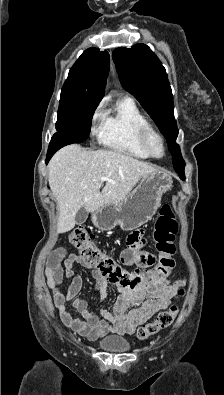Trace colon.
<instances>
[{
    "instance_id": "obj_1",
    "label": "colon",
    "mask_w": 224,
    "mask_h": 395,
    "mask_svg": "<svg viewBox=\"0 0 224 395\" xmlns=\"http://www.w3.org/2000/svg\"><path fill=\"white\" fill-rule=\"evenodd\" d=\"M177 231L178 225L172 208L167 204L163 205L160 209L153 233L156 249L160 254L155 271L158 276H166L175 265L172 256L175 253L174 240ZM69 241L79 251L86 263L95 267L111 281L130 289L146 286V282L141 276L129 273L118 265L113 258L105 254L97 246L86 229H74L69 235ZM183 294V289H180L178 296L181 297ZM178 311V305L172 304L166 310L160 312L155 320L138 328L136 333L137 338L139 340H145L169 327L175 320Z\"/></svg>"
}]
</instances>
